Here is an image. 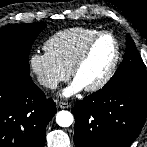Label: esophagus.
Instances as JSON below:
<instances>
[{"instance_id": "obj_1", "label": "esophagus", "mask_w": 147, "mask_h": 147, "mask_svg": "<svg viewBox=\"0 0 147 147\" xmlns=\"http://www.w3.org/2000/svg\"><path fill=\"white\" fill-rule=\"evenodd\" d=\"M58 106H59L60 108H62V109H66V108H69V107H70V105H69L67 102H63V101H60V102L58 103Z\"/></svg>"}]
</instances>
